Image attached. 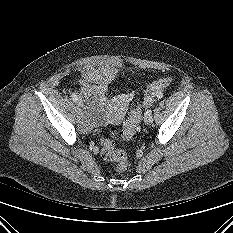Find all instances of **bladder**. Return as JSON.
I'll list each match as a JSON object with an SVG mask.
<instances>
[{"label": "bladder", "mask_w": 233, "mask_h": 233, "mask_svg": "<svg viewBox=\"0 0 233 233\" xmlns=\"http://www.w3.org/2000/svg\"><path fill=\"white\" fill-rule=\"evenodd\" d=\"M107 73L104 69L88 68L85 74L104 76ZM80 107L83 112V120L87 129H93L103 125L108 120V112L105 107L104 97L96 92L84 91L79 94Z\"/></svg>", "instance_id": "31cf9c89"}]
</instances>
